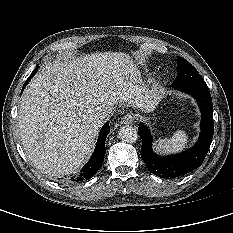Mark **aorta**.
<instances>
[{"label":"aorta","instance_id":"aorta-1","mask_svg":"<svg viewBox=\"0 0 233 233\" xmlns=\"http://www.w3.org/2000/svg\"><path fill=\"white\" fill-rule=\"evenodd\" d=\"M118 136L125 143H134L138 138V131L132 126L125 125L119 129Z\"/></svg>","mask_w":233,"mask_h":233}]
</instances>
